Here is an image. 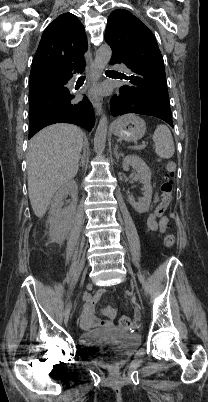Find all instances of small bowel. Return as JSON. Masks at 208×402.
<instances>
[{
  "mask_svg": "<svg viewBox=\"0 0 208 402\" xmlns=\"http://www.w3.org/2000/svg\"><path fill=\"white\" fill-rule=\"evenodd\" d=\"M169 226L168 218L166 216L162 217L160 220L156 219L154 214L148 216L146 221V227L149 232H164ZM93 300L85 308V318L87 321H81L79 327L81 330H88L90 324L104 325L106 329L111 327L109 321L115 317V310L113 308H106L104 310L105 319H96L93 317L94 305L96 301H101L104 298L103 293L96 292L93 295ZM90 323V324H89ZM69 327V324H66Z\"/></svg>",
  "mask_w": 208,
  "mask_h": 402,
  "instance_id": "1",
  "label": "small bowel"
}]
</instances>
